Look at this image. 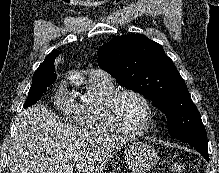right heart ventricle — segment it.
Returning a JSON list of instances; mask_svg holds the SVG:
<instances>
[{
	"instance_id": "1",
	"label": "right heart ventricle",
	"mask_w": 219,
	"mask_h": 173,
	"mask_svg": "<svg viewBox=\"0 0 219 173\" xmlns=\"http://www.w3.org/2000/svg\"><path fill=\"white\" fill-rule=\"evenodd\" d=\"M115 91L113 82L90 80L88 100L73 105L76 123L92 132L115 134L104 113V103Z\"/></svg>"
}]
</instances>
